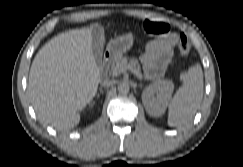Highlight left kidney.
<instances>
[{
	"label": "left kidney",
	"mask_w": 243,
	"mask_h": 167,
	"mask_svg": "<svg viewBox=\"0 0 243 167\" xmlns=\"http://www.w3.org/2000/svg\"><path fill=\"white\" fill-rule=\"evenodd\" d=\"M174 85L171 81H162L149 85L142 93V102L148 114L159 117L165 113Z\"/></svg>",
	"instance_id": "left-kidney-1"
}]
</instances>
